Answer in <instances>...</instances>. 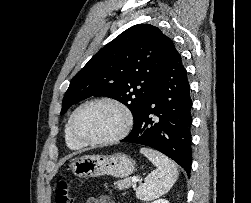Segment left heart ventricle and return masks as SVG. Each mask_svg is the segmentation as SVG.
I'll return each instance as SVG.
<instances>
[{
    "instance_id": "obj_1",
    "label": "left heart ventricle",
    "mask_w": 251,
    "mask_h": 203,
    "mask_svg": "<svg viewBox=\"0 0 251 203\" xmlns=\"http://www.w3.org/2000/svg\"><path fill=\"white\" fill-rule=\"evenodd\" d=\"M123 122L124 117L119 109L110 104L97 103L79 112L75 127L82 137L100 140L116 134Z\"/></svg>"
}]
</instances>
